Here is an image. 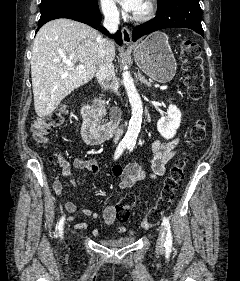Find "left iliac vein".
<instances>
[{"mask_svg": "<svg viewBox=\"0 0 240 281\" xmlns=\"http://www.w3.org/2000/svg\"><path fill=\"white\" fill-rule=\"evenodd\" d=\"M165 240H166V227L164 224L159 226V236L156 243V251L162 253L165 247Z\"/></svg>", "mask_w": 240, "mask_h": 281, "instance_id": "4c4485c4", "label": "left iliac vein"}]
</instances>
